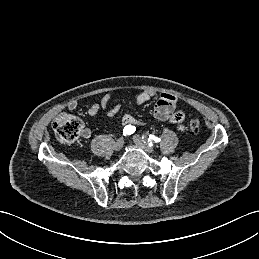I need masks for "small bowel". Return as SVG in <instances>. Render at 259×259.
Instances as JSON below:
<instances>
[{
  "label": "small bowel",
  "mask_w": 259,
  "mask_h": 259,
  "mask_svg": "<svg viewBox=\"0 0 259 259\" xmlns=\"http://www.w3.org/2000/svg\"><path fill=\"white\" fill-rule=\"evenodd\" d=\"M154 96V92L151 91H142L138 93L135 97V102L137 105H143L148 102ZM111 95L105 94L99 102L92 104L87 113L90 116L96 115L99 111H106L107 117H113L119 111V107L115 106L111 109H108V104L110 101ZM178 99L175 95L171 93H162L154 107V117L162 122L168 121L173 124L178 125L179 129H183V121L185 119V114L181 110H177ZM70 110H75L77 108V102L71 101L68 104ZM122 124L127 125H137L135 118L129 114H126L122 118ZM135 127V126H134ZM83 138H89L91 136V130L88 127H85L82 130Z\"/></svg>",
  "instance_id": "1"
}]
</instances>
